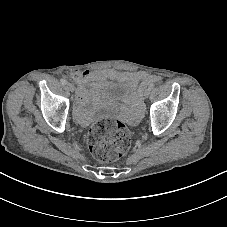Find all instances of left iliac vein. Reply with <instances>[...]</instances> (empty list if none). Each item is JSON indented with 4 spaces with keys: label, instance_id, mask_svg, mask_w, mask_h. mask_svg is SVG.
I'll return each instance as SVG.
<instances>
[{
    "label": "left iliac vein",
    "instance_id": "left-iliac-vein-1",
    "mask_svg": "<svg viewBox=\"0 0 227 227\" xmlns=\"http://www.w3.org/2000/svg\"><path fill=\"white\" fill-rule=\"evenodd\" d=\"M150 94H151V89L150 88H147L145 90V97L148 98L150 96Z\"/></svg>",
    "mask_w": 227,
    "mask_h": 227
}]
</instances>
